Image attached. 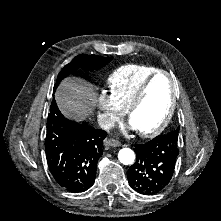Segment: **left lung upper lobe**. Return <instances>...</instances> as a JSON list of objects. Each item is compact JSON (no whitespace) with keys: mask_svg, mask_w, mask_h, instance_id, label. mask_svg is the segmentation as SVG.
Here are the masks:
<instances>
[{"mask_svg":"<svg viewBox=\"0 0 221 221\" xmlns=\"http://www.w3.org/2000/svg\"><path fill=\"white\" fill-rule=\"evenodd\" d=\"M178 132H179V128L176 129L175 131L169 132V133L166 134V135L171 136V137H176V138H178Z\"/></svg>","mask_w":221,"mask_h":221,"instance_id":"obj_1","label":"left lung upper lobe"}]
</instances>
